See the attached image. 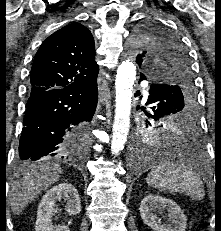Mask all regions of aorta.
I'll use <instances>...</instances> for the list:
<instances>
[{"label":"aorta","mask_w":221,"mask_h":231,"mask_svg":"<svg viewBox=\"0 0 221 231\" xmlns=\"http://www.w3.org/2000/svg\"><path fill=\"white\" fill-rule=\"evenodd\" d=\"M136 73V66L131 60L123 61L117 70L115 81V117L110 149L114 156H117L123 150L127 141L130 128L132 90L136 80Z\"/></svg>","instance_id":"762f6f07"}]
</instances>
